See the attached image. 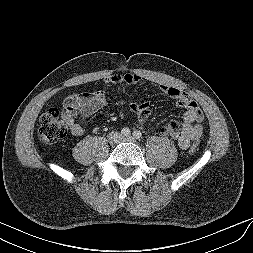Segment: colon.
Returning <instances> with one entry per match:
<instances>
[{
    "label": "colon",
    "mask_w": 253,
    "mask_h": 253,
    "mask_svg": "<svg viewBox=\"0 0 253 253\" xmlns=\"http://www.w3.org/2000/svg\"><path fill=\"white\" fill-rule=\"evenodd\" d=\"M68 131V123L61 117L57 108L46 109L41 117L38 129V137L43 143H51L66 135ZM199 149L197 142L193 143L189 149L191 154H195Z\"/></svg>",
    "instance_id": "5ec220e1"
}]
</instances>
